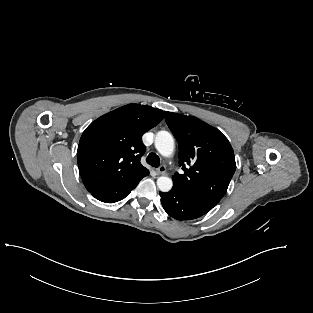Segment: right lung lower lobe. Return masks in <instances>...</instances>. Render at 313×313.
<instances>
[{
    "label": "right lung lower lobe",
    "instance_id": "1",
    "mask_svg": "<svg viewBox=\"0 0 313 313\" xmlns=\"http://www.w3.org/2000/svg\"><path fill=\"white\" fill-rule=\"evenodd\" d=\"M139 176L122 184L105 187L102 189L91 191L90 193L98 200L105 203H114L124 199L139 183V181L147 176Z\"/></svg>",
    "mask_w": 313,
    "mask_h": 313
}]
</instances>
